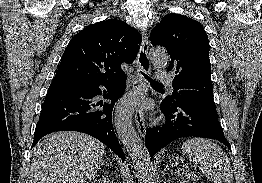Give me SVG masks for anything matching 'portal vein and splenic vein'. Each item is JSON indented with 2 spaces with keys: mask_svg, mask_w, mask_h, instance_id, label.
<instances>
[{
  "mask_svg": "<svg viewBox=\"0 0 262 183\" xmlns=\"http://www.w3.org/2000/svg\"><path fill=\"white\" fill-rule=\"evenodd\" d=\"M193 175H191V174H189V176L188 177H192Z\"/></svg>",
  "mask_w": 262,
  "mask_h": 183,
  "instance_id": "1",
  "label": "portal vein and splenic vein"
}]
</instances>
